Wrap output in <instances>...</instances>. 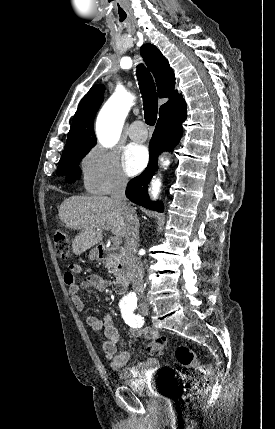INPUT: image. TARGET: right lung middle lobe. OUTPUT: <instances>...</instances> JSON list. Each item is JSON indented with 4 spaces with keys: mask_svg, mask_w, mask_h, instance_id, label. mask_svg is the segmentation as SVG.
I'll use <instances>...</instances> for the list:
<instances>
[{
    "mask_svg": "<svg viewBox=\"0 0 275 429\" xmlns=\"http://www.w3.org/2000/svg\"><path fill=\"white\" fill-rule=\"evenodd\" d=\"M87 153H77L72 155L62 156L57 168V175L63 176L65 175V181L72 183L76 179L80 178L81 170L78 168V165L81 159Z\"/></svg>",
    "mask_w": 275,
    "mask_h": 429,
    "instance_id": "right-lung-middle-lobe-1",
    "label": "right lung middle lobe"
}]
</instances>
